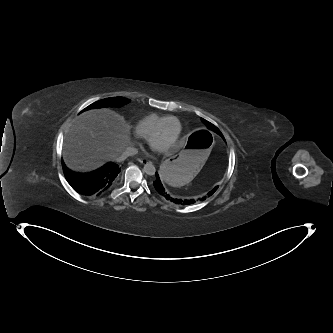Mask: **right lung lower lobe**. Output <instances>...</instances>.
I'll return each mask as SVG.
<instances>
[{"instance_id":"obj_1","label":"right lung lower lobe","mask_w":333,"mask_h":333,"mask_svg":"<svg viewBox=\"0 0 333 333\" xmlns=\"http://www.w3.org/2000/svg\"><path fill=\"white\" fill-rule=\"evenodd\" d=\"M68 183L80 194L85 196L100 195L107 192L117 179L121 168L115 163H107L89 173L71 171L63 164Z\"/></svg>"}]
</instances>
